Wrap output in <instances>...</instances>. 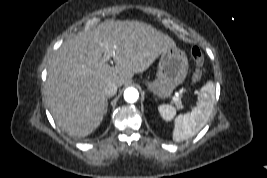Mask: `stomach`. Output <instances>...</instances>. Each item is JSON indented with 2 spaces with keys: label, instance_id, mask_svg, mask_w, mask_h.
<instances>
[{
  "label": "stomach",
  "instance_id": "1",
  "mask_svg": "<svg viewBox=\"0 0 267 178\" xmlns=\"http://www.w3.org/2000/svg\"><path fill=\"white\" fill-rule=\"evenodd\" d=\"M188 67L185 52L176 46L169 47L161 52L157 78L152 82L146 81L145 85L158 96L167 98L185 80Z\"/></svg>",
  "mask_w": 267,
  "mask_h": 178
}]
</instances>
